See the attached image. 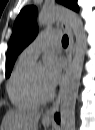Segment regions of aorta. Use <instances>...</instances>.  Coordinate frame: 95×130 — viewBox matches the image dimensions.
Segmentation results:
<instances>
[{"label":"aorta","mask_w":95,"mask_h":130,"mask_svg":"<svg viewBox=\"0 0 95 130\" xmlns=\"http://www.w3.org/2000/svg\"><path fill=\"white\" fill-rule=\"evenodd\" d=\"M56 21L67 23L75 36V53L65 74L60 91L61 130H75V107L87 49L86 32L81 18L72 10L52 7L43 10L37 18L40 25Z\"/></svg>","instance_id":"aorta-1"}]
</instances>
